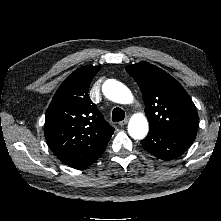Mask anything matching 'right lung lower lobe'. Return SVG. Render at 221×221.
Instances as JSON below:
<instances>
[{"instance_id": "1", "label": "right lung lower lobe", "mask_w": 221, "mask_h": 221, "mask_svg": "<svg viewBox=\"0 0 221 221\" xmlns=\"http://www.w3.org/2000/svg\"><path fill=\"white\" fill-rule=\"evenodd\" d=\"M100 156H101V154L98 155L97 157L93 158L92 160H90V161H88V162L82 164L80 167H78V169H79V168H85V167L91 165V164H92L93 162H95Z\"/></svg>"}]
</instances>
